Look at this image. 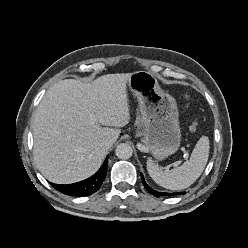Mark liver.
<instances>
[{
	"mask_svg": "<svg viewBox=\"0 0 248 248\" xmlns=\"http://www.w3.org/2000/svg\"><path fill=\"white\" fill-rule=\"evenodd\" d=\"M132 73L107 74L91 83L58 81L43 96L32 124L34 160L41 174L57 184L93 175L121 127L130 120L127 82ZM105 127H103V126Z\"/></svg>",
	"mask_w": 248,
	"mask_h": 248,
	"instance_id": "obj_1",
	"label": "liver"
}]
</instances>
